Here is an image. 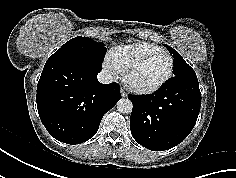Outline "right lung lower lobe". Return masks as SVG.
Returning a JSON list of instances; mask_svg holds the SVG:
<instances>
[{
  "instance_id": "right-lung-lower-lobe-1",
  "label": "right lung lower lobe",
  "mask_w": 236,
  "mask_h": 178,
  "mask_svg": "<svg viewBox=\"0 0 236 178\" xmlns=\"http://www.w3.org/2000/svg\"><path fill=\"white\" fill-rule=\"evenodd\" d=\"M102 64L90 58L47 60L37 85V109L52 137L68 144L92 138L102 117L121 98L115 83L101 84Z\"/></svg>"
}]
</instances>
